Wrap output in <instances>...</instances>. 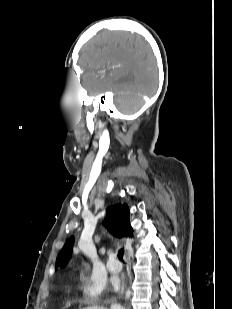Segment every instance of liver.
I'll return each mask as SVG.
<instances>
[{
    "label": "liver",
    "instance_id": "obj_1",
    "mask_svg": "<svg viewBox=\"0 0 232 309\" xmlns=\"http://www.w3.org/2000/svg\"><path fill=\"white\" fill-rule=\"evenodd\" d=\"M83 309H106V308L100 307V306H91V307H86V308H83Z\"/></svg>",
    "mask_w": 232,
    "mask_h": 309
}]
</instances>
